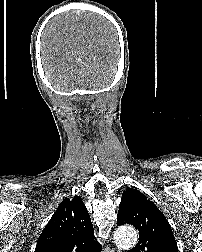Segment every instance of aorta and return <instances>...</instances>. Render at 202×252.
<instances>
[{
    "mask_svg": "<svg viewBox=\"0 0 202 252\" xmlns=\"http://www.w3.org/2000/svg\"><path fill=\"white\" fill-rule=\"evenodd\" d=\"M114 241L121 248H131L138 241L137 232L132 227H120L114 233Z\"/></svg>",
    "mask_w": 202,
    "mask_h": 252,
    "instance_id": "1",
    "label": "aorta"
}]
</instances>
